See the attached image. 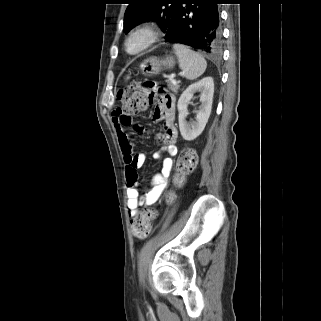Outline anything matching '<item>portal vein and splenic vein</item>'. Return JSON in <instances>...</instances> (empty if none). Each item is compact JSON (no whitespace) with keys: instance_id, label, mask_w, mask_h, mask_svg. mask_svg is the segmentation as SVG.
Here are the masks:
<instances>
[{"instance_id":"obj_1","label":"portal vein and splenic vein","mask_w":321,"mask_h":321,"mask_svg":"<svg viewBox=\"0 0 321 321\" xmlns=\"http://www.w3.org/2000/svg\"><path fill=\"white\" fill-rule=\"evenodd\" d=\"M170 80H172V77H169ZM174 83H177L176 81H174Z\"/></svg>"}]
</instances>
